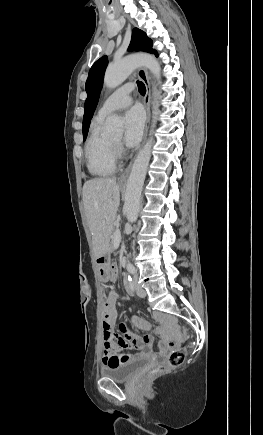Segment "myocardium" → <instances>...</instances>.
Returning <instances> with one entry per match:
<instances>
[{
  "mask_svg": "<svg viewBox=\"0 0 263 435\" xmlns=\"http://www.w3.org/2000/svg\"><path fill=\"white\" fill-rule=\"evenodd\" d=\"M110 145L112 147L115 156L117 157V155L119 154V143H114L113 141L110 140Z\"/></svg>",
  "mask_w": 263,
  "mask_h": 435,
  "instance_id": "f54148a6",
  "label": "myocardium"
}]
</instances>
